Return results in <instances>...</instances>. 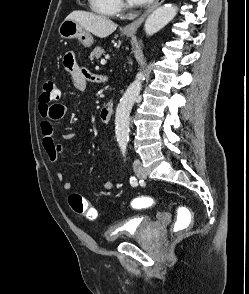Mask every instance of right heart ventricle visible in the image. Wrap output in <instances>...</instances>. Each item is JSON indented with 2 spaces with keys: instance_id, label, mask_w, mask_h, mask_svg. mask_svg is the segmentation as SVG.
Masks as SVG:
<instances>
[{
  "instance_id": "right-heart-ventricle-1",
  "label": "right heart ventricle",
  "mask_w": 249,
  "mask_h": 294,
  "mask_svg": "<svg viewBox=\"0 0 249 294\" xmlns=\"http://www.w3.org/2000/svg\"><path fill=\"white\" fill-rule=\"evenodd\" d=\"M91 9L103 16L113 17L120 13V0H88Z\"/></svg>"
}]
</instances>
